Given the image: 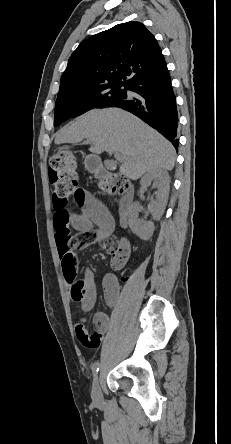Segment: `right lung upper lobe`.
<instances>
[{"mask_svg": "<svg viewBox=\"0 0 231 444\" xmlns=\"http://www.w3.org/2000/svg\"><path fill=\"white\" fill-rule=\"evenodd\" d=\"M167 67L157 40L140 22H127L84 41L69 58L59 93L111 83L130 85Z\"/></svg>", "mask_w": 231, "mask_h": 444, "instance_id": "1", "label": "right lung upper lobe"}]
</instances>
